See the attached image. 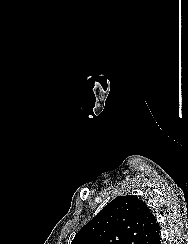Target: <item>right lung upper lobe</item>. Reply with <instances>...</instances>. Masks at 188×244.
Segmentation results:
<instances>
[{
    "label": "right lung upper lobe",
    "mask_w": 188,
    "mask_h": 244,
    "mask_svg": "<svg viewBox=\"0 0 188 244\" xmlns=\"http://www.w3.org/2000/svg\"><path fill=\"white\" fill-rule=\"evenodd\" d=\"M159 229L145 202L119 196L83 226L71 244H147Z\"/></svg>",
    "instance_id": "right-lung-upper-lobe-1"
}]
</instances>
